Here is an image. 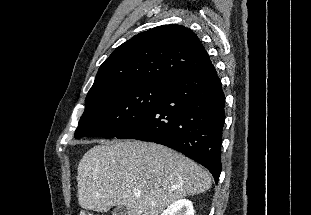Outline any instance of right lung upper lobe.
Listing matches in <instances>:
<instances>
[{
  "mask_svg": "<svg viewBox=\"0 0 311 215\" xmlns=\"http://www.w3.org/2000/svg\"><path fill=\"white\" fill-rule=\"evenodd\" d=\"M211 64L197 35L171 24L139 33L116 48L100 66L87 96L111 87L166 84Z\"/></svg>",
  "mask_w": 311,
  "mask_h": 215,
  "instance_id": "1",
  "label": "right lung upper lobe"
}]
</instances>
